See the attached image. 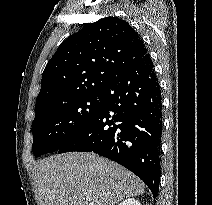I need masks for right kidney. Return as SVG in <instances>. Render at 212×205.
I'll list each match as a JSON object with an SVG mask.
<instances>
[{
	"label": "right kidney",
	"instance_id": "ca27d5eb",
	"mask_svg": "<svg viewBox=\"0 0 212 205\" xmlns=\"http://www.w3.org/2000/svg\"><path fill=\"white\" fill-rule=\"evenodd\" d=\"M119 205H141L140 202L134 198H128L121 202Z\"/></svg>",
	"mask_w": 212,
	"mask_h": 205
}]
</instances>
